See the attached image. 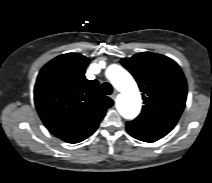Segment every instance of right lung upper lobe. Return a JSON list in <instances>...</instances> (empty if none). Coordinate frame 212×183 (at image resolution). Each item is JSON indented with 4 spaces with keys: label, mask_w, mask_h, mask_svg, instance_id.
<instances>
[{
    "label": "right lung upper lobe",
    "mask_w": 212,
    "mask_h": 183,
    "mask_svg": "<svg viewBox=\"0 0 212 183\" xmlns=\"http://www.w3.org/2000/svg\"><path fill=\"white\" fill-rule=\"evenodd\" d=\"M89 60L77 53L60 55L40 71L34 89L35 106L47 129L56 137L78 143L95 132L112 99L88 80Z\"/></svg>",
    "instance_id": "obj_1"
}]
</instances>
